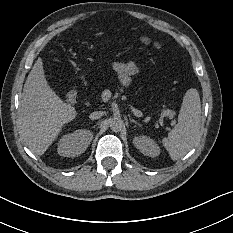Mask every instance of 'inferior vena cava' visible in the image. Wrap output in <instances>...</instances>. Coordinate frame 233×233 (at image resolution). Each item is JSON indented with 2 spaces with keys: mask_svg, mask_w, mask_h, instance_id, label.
<instances>
[{
  "mask_svg": "<svg viewBox=\"0 0 233 233\" xmlns=\"http://www.w3.org/2000/svg\"><path fill=\"white\" fill-rule=\"evenodd\" d=\"M104 115L103 111H95L90 114V119L91 120H97L100 119Z\"/></svg>",
  "mask_w": 233,
  "mask_h": 233,
  "instance_id": "inferior-vena-cava-1",
  "label": "inferior vena cava"
}]
</instances>
